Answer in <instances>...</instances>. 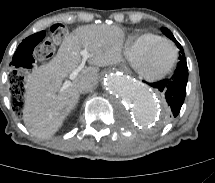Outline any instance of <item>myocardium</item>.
<instances>
[{
    "instance_id": "f54148a6",
    "label": "myocardium",
    "mask_w": 215,
    "mask_h": 183,
    "mask_svg": "<svg viewBox=\"0 0 215 183\" xmlns=\"http://www.w3.org/2000/svg\"><path fill=\"white\" fill-rule=\"evenodd\" d=\"M161 43H168L171 45L173 49V57L171 62L163 68L162 70L156 71V72H151L146 68V61L149 56V54ZM178 57H179V52L178 48L176 45L169 39L166 38H161L151 44L137 59V61L134 64V68L139 74V76L150 83H156L160 82L164 79H166L175 69L177 62H178Z\"/></svg>"
}]
</instances>
